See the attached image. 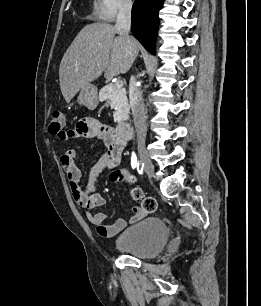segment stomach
<instances>
[{
	"mask_svg": "<svg viewBox=\"0 0 261 306\" xmlns=\"http://www.w3.org/2000/svg\"><path fill=\"white\" fill-rule=\"evenodd\" d=\"M77 101L89 109H95L98 106L97 87L93 84H87L80 89Z\"/></svg>",
	"mask_w": 261,
	"mask_h": 306,
	"instance_id": "obj_1",
	"label": "stomach"
}]
</instances>
